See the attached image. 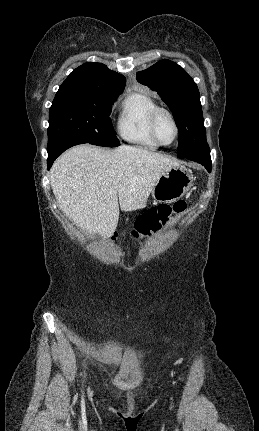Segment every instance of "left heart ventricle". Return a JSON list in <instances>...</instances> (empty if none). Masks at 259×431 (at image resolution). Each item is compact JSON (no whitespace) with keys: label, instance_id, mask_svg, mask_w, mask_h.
<instances>
[{"label":"left heart ventricle","instance_id":"b2bd125f","mask_svg":"<svg viewBox=\"0 0 259 431\" xmlns=\"http://www.w3.org/2000/svg\"><path fill=\"white\" fill-rule=\"evenodd\" d=\"M157 135L163 143H170L175 130L172 121L166 114H160L156 124Z\"/></svg>","mask_w":259,"mask_h":431}]
</instances>
